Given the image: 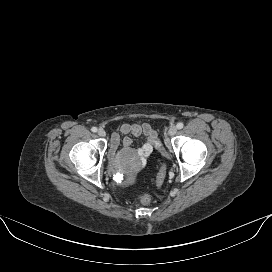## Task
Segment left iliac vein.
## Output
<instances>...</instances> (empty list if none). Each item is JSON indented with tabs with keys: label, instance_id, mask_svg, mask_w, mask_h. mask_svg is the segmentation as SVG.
Segmentation results:
<instances>
[{
	"label": "left iliac vein",
	"instance_id": "left-iliac-vein-1",
	"mask_svg": "<svg viewBox=\"0 0 272 272\" xmlns=\"http://www.w3.org/2000/svg\"><path fill=\"white\" fill-rule=\"evenodd\" d=\"M177 133V127L176 126H171L168 130V135L169 136H174Z\"/></svg>",
	"mask_w": 272,
	"mask_h": 272
}]
</instances>
